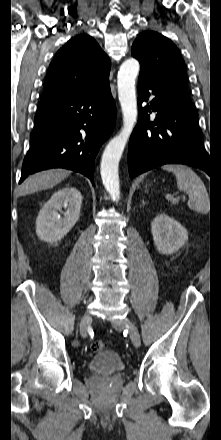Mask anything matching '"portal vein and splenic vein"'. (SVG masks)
<instances>
[{"instance_id":"1","label":"portal vein and splenic vein","mask_w":221,"mask_h":440,"mask_svg":"<svg viewBox=\"0 0 221 440\" xmlns=\"http://www.w3.org/2000/svg\"><path fill=\"white\" fill-rule=\"evenodd\" d=\"M166 199L172 202H178L180 200L179 197H174L172 194H167Z\"/></svg>"}]
</instances>
